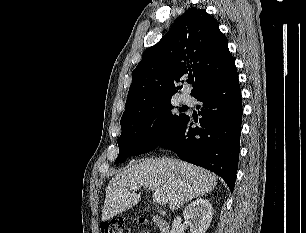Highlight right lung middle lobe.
Segmentation results:
<instances>
[{"instance_id": "obj_1", "label": "right lung middle lobe", "mask_w": 306, "mask_h": 233, "mask_svg": "<svg viewBox=\"0 0 306 233\" xmlns=\"http://www.w3.org/2000/svg\"><path fill=\"white\" fill-rule=\"evenodd\" d=\"M172 108L168 99L122 116V133L118 139L119 155L115 163L124 162L130 155L153 150L173 135L187 115L174 114ZM180 111L182 112L181 109Z\"/></svg>"}]
</instances>
